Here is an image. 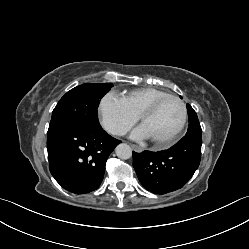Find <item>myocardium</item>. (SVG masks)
Segmentation results:
<instances>
[{"instance_id": "1", "label": "myocardium", "mask_w": 249, "mask_h": 249, "mask_svg": "<svg viewBox=\"0 0 249 249\" xmlns=\"http://www.w3.org/2000/svg\"><path fill=\"white\" fill-rule=\"evenodd\" d=\"M170 99H174L177 100L182 107L183 110V115H182V120L180 125L178 126V128L175 130L174 133H172L170 136H168L165 139H161V140H152L153 143L155 144V146L157 148L160 149H164V148H168L171 145H173L180 137L181 133L183 132L187 120H188V109H187V105L184 102V100L182 98H180L179 96L176 95H167L164 97H161L155 101H153L152 103H150L148 106H146L139 114L138 119L139 121L142 123V121L149 115L153 114L157 108L166 100H170Z\"/></svg>"}]
</instances>
